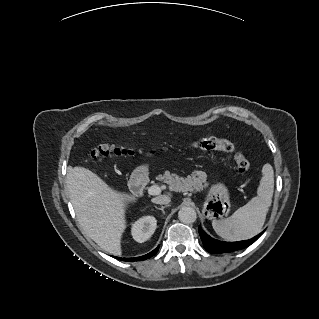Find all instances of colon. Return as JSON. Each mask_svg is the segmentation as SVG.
<instances>
[{"instance_id": "1", "label": "colon", "mask_w": 319, "mask_h": 319, "mask_svg": "<svg viewBox=\"0 0 319 319\" xmlns=\"http://www.w3.org/2000/svg\"><path fill=\"white\" fill-rule=\"evenodd\" d=\"M191 145L194 148L202 150H219L231 154L235 161L236 168L240 173H245L250 168L248 160H246L241 154L235 152L234 146L226 140L218 138H197ZM136 152L137 151L132 148L104 142L95 147L90 155L92 159H100L102 157L133 156Z\"/></svg>"}]
</instances>
